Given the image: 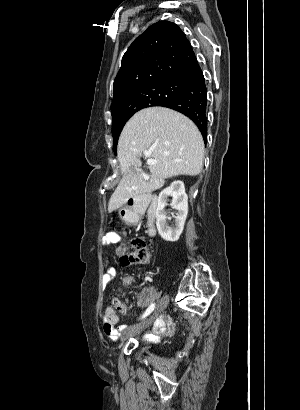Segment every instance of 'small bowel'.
<instances>
[{"label": "small bowel", "instance_id": "obj_1", "mask_svg": "<svg viewBox=\"0 0 300 410\" xmlns=\"http://www.w3.org/2000/svg\"><path fill=\"white\" fill-rule=\"evenodd\" d=\"M118 240L119 238L116 234H110L107 238V242L109 244H114ZM117 252L123 253L124 248L118 247ZM116 273H117L116 269L112 266H108L105 268L103 281H102L104 287H107L114 280V278L116 277ZM134 282H135V279L132 276H125L121 281L118 291L121 292L124 288L133 284ZM140 306H142L141 302H140ZM125 312H126V306L122 302L119 294L114 295L111 303L105 308L104 314H103V330H104V333L111 340H116L121 335L122 332L127 331L130 328L127 325L117 326V323L119 322V314L120 313L123 314ZM170 332H171V329L166 320V317L162 315L156 322L155 334L153 338H156L157 335H160V334H169Z\"/></svg>", "mask_w": 300, "mask_h": 410}]
</instances>
